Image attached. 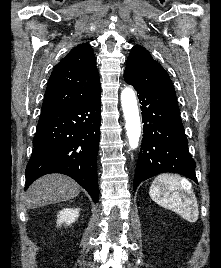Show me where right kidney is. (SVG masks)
Returning <instances> with one entry per match:
<instances>
[{
    "label": "right kidney",
    "mask_w": 221,
    "mask_h": 268,
    "mask_svg": "<svg viewBox=\"0 0 221 268\" xmlns=\"http://www.w3.org/2000/svg\"><path fill=\"white\" fill-rule=\"evenodd\" d=\"M80 209H71L65 208L61 210L58 214L57 226H61L62 223L66 225H70L71 223L75 222V220L79 216Z\"/></svg>",
    "instance_id": "ca27d5eb"
}]
</instances>
